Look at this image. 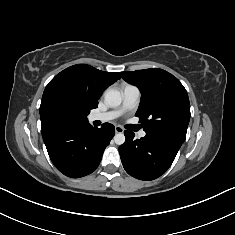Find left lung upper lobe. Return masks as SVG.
Wrapping results in <instances>:
<instances>
[{"label":"left lung upper lobe","instance_id":"obj_1","mask_svg":"<svg viewBox=\"0 0 235 235\" xmlns=\"http://www.w3.org/2000/svg\"><path fill=\"white\" fill-rule=\"evenodd\" d=\"M120 75L142 93L136 116L143 123L144 131L165 135L183 143L190 120V103L181 82L158 68L124 71Z\"/></svg>","mask_w":235,"mask_h":235}]
</instances>
